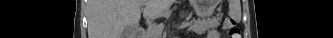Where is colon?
<instances>
[{
	"label": "colon",
	"instance_id": "5ec220e1",
	"mask_svg": "<svg viewBox=\"0 0 333 38\" xmlns=\"http://www.w3.org/2000/svg\"><path fill=\"white\" fill-rule=\"evenodd\" d=\"M223 28L228 38H241L240 29L235 19L231 17L226 18Z\"/></svg>",
	"mask_w": 333,
	"mask_h": 38
}]
</instances>
